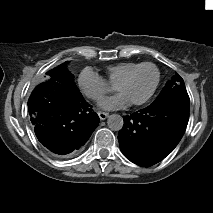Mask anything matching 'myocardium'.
Wrapping results in <instances>:
<instances>
[{
  "mask_svg": "<svg viewBox=\"0 0 213 213\" xmlns=\"http://www.w3.org/2000/svg\"><path fill=\"white\" fill-rule=\"evenodd\" d=\"M144 67H150V68H152L154 70V72H155V80H154V83H153V86H152L151 90L149 91V93L146 96H144L143 98H141L139 100L129 102L133 106H140V105L146 103L154 95V93H155V91H156V89L158 87L159 81H160V71H159V68L154 63L143 62L142 64H140V65L132 68L129 72H127L124 76H122L116 82V84L114 85V87L116 88L118 85H120V84L128 81L129 78L134 73H136L137 71L141 70Z\"/></svg>",
  "mask_w": 213,
  "mask_h": 213,
  "instance_id": "f54148a6",
  "label": "myocardium"
}]
</instances>
